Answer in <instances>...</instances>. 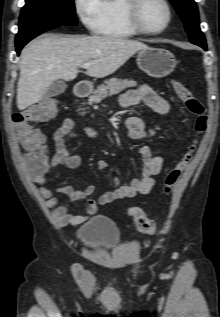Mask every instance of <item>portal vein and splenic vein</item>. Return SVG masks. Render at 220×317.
<instances>
[{
    "mask_svg": "<svg viewBox=\"0 0 220 317\" xmlns=\"http://www.w3.org/2000/svg\"><path fill=\"white\" fill-rule=\"evenodd\" d=\"M92 64H93V63H84V64L81 65V68H83V69H89Z\"/></svg>",
    "mask_w": 220,
    "mask_h": 317,
    "instance_id": "portal-vein-and-splenic-vein-1",
    "label": "portal vein and splenic vein"
}]
</instances>
